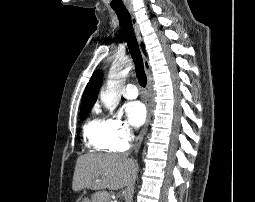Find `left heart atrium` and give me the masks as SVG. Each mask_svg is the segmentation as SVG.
Segmentation results:
<instances>
[{
	"label": "left heart atrium",
	"mask_w": 255,
	"mask_h": 202,
	"mask_svg": "<svg viewBox=\"0 0 255 202\" xmlns=\"http://www.w3.org/2000/svg\"><path fill=\"white\" fill-rule=\"evenodd\" d=\"M125 113L129 122L134 127H139L143 124L146 118L145 106L139 101H132L125 105Z\"/></svg>",
	"instance_id": "39dd6f15"
}]
</instances>
